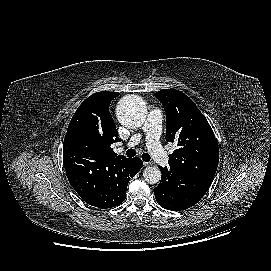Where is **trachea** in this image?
<instances>
[{
  "label": "trachea",
  "mask_w": 271,
  "mask_h": 271,
  "mask_svg": "<svg viewBox=\"0 0 271 271\" xmlns=\"http://www.w3.org/2000/svg\"><path fill=\"white\" fill-rule=\"evenodd\" d=\"M126 155H127V157L132 158V157L136 156V151L134 149H128L126 151ZM141 157H142L143 161H145V162H149L151 159L150 155L147 153L142 154Z\"/></svg>",
  "instance_id": "obj_1"
}]
</instances>
